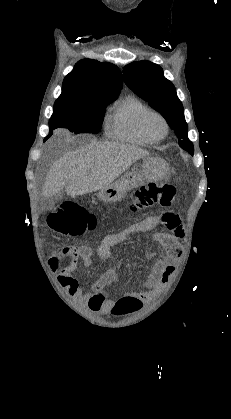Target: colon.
<instances>
[{"mask_svg": "<svg viewBox=\"0 0 231 419\" xmlns=\"http://www.w3.org/2000/svg\"><path fill=\"white\" fill-rule=\"evenodd\" d=\"M176 200V188L171 183L156 184L150 183L138 189L129 206L131 212L160 205L171 207ZM50 227L60 234H79L86 227L94 228L96 220L93 215L87 213L86 209L75 203L62 204L57 210L49 215ZM60 262V256L54 257ZM142 302L135 296L126 295L117 300L112 308V314L121 316L133 313L141 309Z\"/></svg>", "mask_w": 231, "mask_h": 419, "instance_id": "1", "label": "colon"}]
</instances>
